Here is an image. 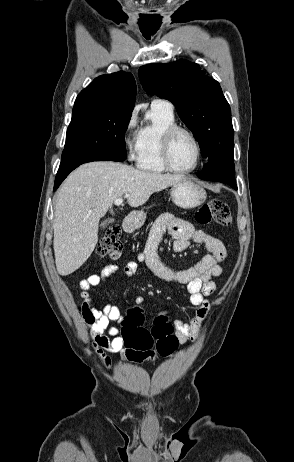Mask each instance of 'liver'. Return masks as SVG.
Masks as SVG:
<instances>
[{"label":"liver","instance_id":"liver-1","mask_svg":"<svg viewBox=\"0 0 294 462\" xmlns=\"http://www.w3.org/2000/svg\"><path fill=\"white\" fill-rule=\"evenodd\" d=\"M184 178L107 161L78 167L56 194L53 248L58 273L67 276L90 257L98 242L99 220L116 199L125 195L128 204L136 208L153 193Z\"/></svg>","mask_w":294,"mask_h":462}]
</instances>
